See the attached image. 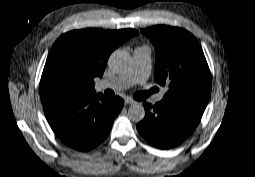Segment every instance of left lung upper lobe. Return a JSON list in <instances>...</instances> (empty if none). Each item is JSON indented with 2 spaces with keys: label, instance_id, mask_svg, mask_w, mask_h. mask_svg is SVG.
Masks as SVG:
<instances>
[{
  "label": "left lung upper lobe",
  "instance_id": "obj_1",
  "mask_svg": "<svg viewBox=\"0 0 255 177\" xmlns=\"http://www.w3.org/2000/svg\"><path fill=\"white\" fill-rule=\"evenodd\" d=\"M141 32L155 46V81L169 86L164 99L207 104L211 94V75L196 38L184 29L165 25Z\"/></svg>",
  "mask_w": 255,
  "mask_h": 177
}]
</instances>
